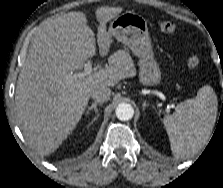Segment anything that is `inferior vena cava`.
Returning <instances> with one entry per match:
<instances>
[{
    "instance_id": "inferior-vena-cava-1",
    "label": "inferior vena cava",
    "mask_w": 223,
    "mask_h": 188,
    "mask_svg": "<svg viewBox=\"0 0 223 188\" xmlns=\"http://www.w3.org/2000/svg\"><path fill=\"white\" fill-rule=\"evenodd\" d=\"M111 90L107 86H99L91 91V97L99 103L105 102L110 98Z\"/></svg>"
}]
</instances>
